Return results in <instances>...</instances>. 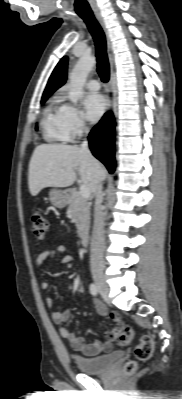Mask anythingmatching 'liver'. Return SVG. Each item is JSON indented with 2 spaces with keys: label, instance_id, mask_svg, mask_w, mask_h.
<instances>
[{
  "label": "liver",
  "instance_id": "obj_1",
  "mask_svg": "<svg viewBox=\"0 0 182 399\" xmlns=\"http://www.w3.org/2000/svg\"><path fill=\"white\" fill-rule=\"evenodd\" d=\"M95 192L103 181L106 170L91 154L81 147L65 144L38 145L29 163L28 184L32 196L45 187H68L77 178Z\"/></svg>",
  "mask_w": 182,
  "mask_h": 399
}]
</instances>
